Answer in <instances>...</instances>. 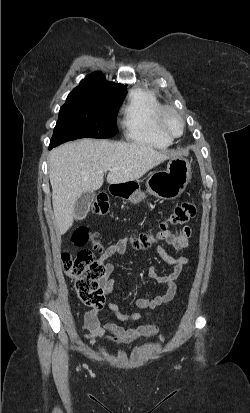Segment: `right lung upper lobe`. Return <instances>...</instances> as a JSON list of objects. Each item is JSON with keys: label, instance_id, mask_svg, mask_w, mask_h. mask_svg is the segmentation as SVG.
Masks as SVG:
<instances>
[{"label": "right lung upper lobe", "instance_id": "cb5924a9", "mask_svg": "<svg viewBox=\"0 0 250 413\" xmlns=\"http://www.w3.org/2000/svg\"><path fill=\"white\" fill-rule=\"evenodd\" d=\"M74 90H83L97 93H104L115 96H125L126 86L115 84L106 81L105 76L101 72L91 73L82 80Z\"/></svg>", "mask_w": 250, "mask_h": 413}]
</instances>
